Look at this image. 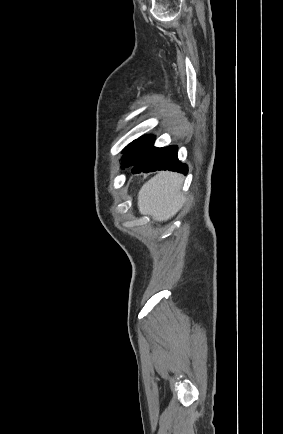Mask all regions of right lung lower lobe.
<instances>
[{
	"instance_id": "1",
	"label": "right lung lower lobe",
	"mask_w": 283,
	"mask_h": 434,
	"mask_svg": "<svg viewBox=\"0 0 283 434\" xmlns=\"http://www.w3.org/2000/svg\"><path fill=\"white\" fill-rule=\"evenodd\" d=\"M177 146L164 148L151 147L139 161L134 164L133 173L152 172L156 170H171L186 174L188 168L177 158Z\"/></svg>"
}]
</instances>
